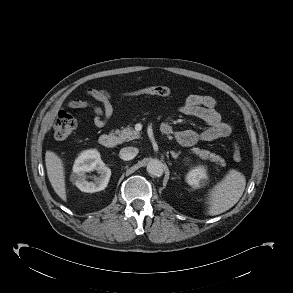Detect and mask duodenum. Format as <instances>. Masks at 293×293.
Returning <instances> with one entry per match:
<instances>
[{
	"mask_svg": "<svg viewBox=\"0 0 293 293\" xmlns=\"http://www.w3.org/2000/svg\"><path fill=\"white\" fill-rule=\"evenodd\" d=\"M99 143L102 147L107 148V149H111L116 146L117 138L114 134H111V133L103 134L99 138Z\"/></svg>",
	"mask_w": 293,
	"mask_h": 293,
	"instance_id": "410a0bca",
	"label": "duodenum"
}]
</instances>
